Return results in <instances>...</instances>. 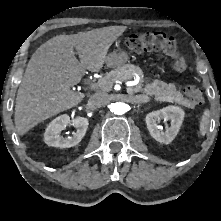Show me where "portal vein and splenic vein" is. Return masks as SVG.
<instances>
[{
  "instance_id": "portal-vein-and-splenic-vein-1",
  "label": "portal vein and splenic vein",
  "mask_w": 221,
  "mask_h": 221,
  "mask_svg": "<svg viewBox=\"0 0 221 221\" xmlns=\"http://www.w3.org/2000/svg\"><path fill=\"white\" fill-rule=\"evenodd\" d=\"M125 85L128 87V88H127V91H128L129 93H132L133 91H132V89H131L130 87L133 86V85H135V82H134V81H126V82H125ZM102 86H103V82L99 80L97 83L91 84V85H90V88H91V89H98V88H101ZM154 100H155V101H161L160 98H155Z\"/></svg>"
}]
</instances>
